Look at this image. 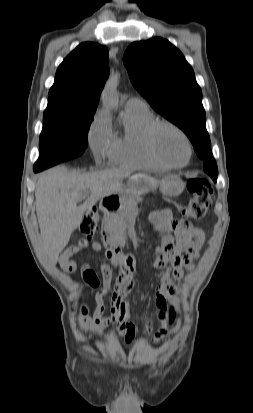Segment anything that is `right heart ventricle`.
<instances>
[{"instance_id": "right-heart-ventricle-1", "label": "right heart ventricle", "mask_w": 253, "mask_h": 413, "mask_svg": "<svg viewBox=\"0 0 253 413\" xmlns=\"http://www.w3.org/2000/svg\"><path fill=\"white\" fill-rule=\"evenodd\" d=\"M156 120L148 108L125 107L120 116L121 130L113 134L114 142L109 152L111 164L135 169H161L147 152L144 134Z\"/></svg>"}]
</instances>
